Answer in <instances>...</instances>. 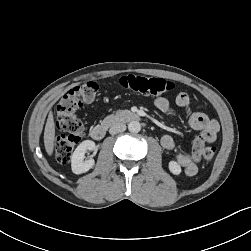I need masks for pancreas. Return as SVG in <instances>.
<instances>
[{
	"label": "pancreas",
	"instance_id": "pancreas-1",
	"mask_svg": "<svg viewBox=\"0 0 251 251\" xmlns=\"http://www.w3.org/2000/svg\"><path fill=\"white\" fill-rule=\"evenodd\" d=\"M119 116H120V112H116L115 114H111V115L104 118V120L102 121V124L109 126L112 123L116 122L119 119Z\"/></svg>",
	"mask_w": 251,
	"mask_h": 251
}]
</instances>
